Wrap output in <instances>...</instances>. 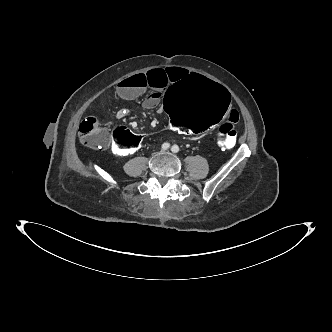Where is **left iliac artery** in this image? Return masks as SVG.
Here are the masks:
<instances>
[{
  "instance_id": "44dca946",
  "label": "left iliac artery",
  "mask_w": 332,
  "mask_h": 332,
  "mask_svg": "<svg viewBox=\"0 0 332 332\" xmlns=\"http://www.w3.org/2000/svg\"><path fill=\"white\" fill-rule=\"evenodd\" d=\"M171 151H172L173 153H178V152H179V147H178V145H173L172 148H171Z\"/></svg>"
}]
</instances>
